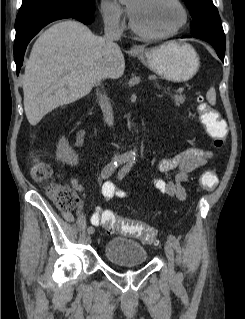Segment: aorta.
<instances>
[{
	"label": "aorta",
	"instance_id": "aorta-1",
	"mask_svg": "<svg viewBox=\"0 0 245 319\" xmlns=\"http://www.w3.org/2000/svg\"><path fill=\"white\" fill-rule=\"evenodd\" d=\"M136 152H137V149H136V148H134L133 150H130V151L127 153L128 159H129V160H135Z\"/></svg>",
	"mask_w": 245,
	"mask_h": 319
}]
</instances>
